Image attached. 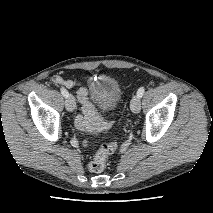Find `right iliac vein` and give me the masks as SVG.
<instances>
[{
  "label": "right iliac vein",
  "mask_w": 213,
  "mask_h": 213,
  "mask_svg": "<svg viewBox=\"0 0 213 213\" xmlns=\"http://www.w3.org/2000/svg\"><path fill=\"white\" fill-rule=\"evenodd\" d=\"M65 107L66 109L69 111V112H72L74 111L75 107H76V102H75V99L72 95H69L67 98H66V101H65Z\"/></svg>",
  "instance_id": "63e3f726"
}]
</instances>
